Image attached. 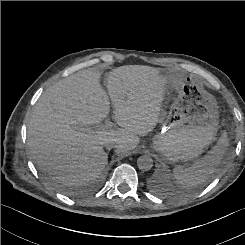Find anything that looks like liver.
<instances>
[{
  "instance_id": "1",
  "label": "liver",
  "mask_w": 245,
  "mask_h": 245,
  "mask_svg": "<svg viewBox=\"0 0 245 245\" xmlns=\"http://www.w3.org/2000/svg\"><path fill=\"white\" fill-rule=\"evenodd\" d=\"M160 72L150 66L127 65L109 73L108 95L121 127L117 130L99 126L110 108L100 72L79 71L49 87L28 125L27 143L35 164L68 185L100 176L108 162L105 142H113L116 153H127L137 147L139 136L157 125L167 84Z\"/></svg>"
}]
</instances>
